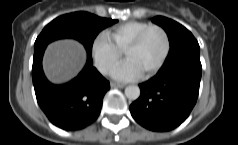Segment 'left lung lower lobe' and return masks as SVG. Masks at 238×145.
<instances>
[{
  "mask_svg": "<svg viewBox=\"0 0 238 145\" xmlns=\"http://www.w3.org/2000/svg\"><path fill=\"white\" fill-rule=\"evenodd\" d=\"M201 74L200 55L161 67L154 77L139 85L140 97L130 105L133 118L152 131L176 128L196 104Z\"/></svg>",
  "mask_w": 238,
  "mask_h": 145,
  "instance_id": "obj_1",
  "label": "left lung lower lobe"
}]
</instances>
